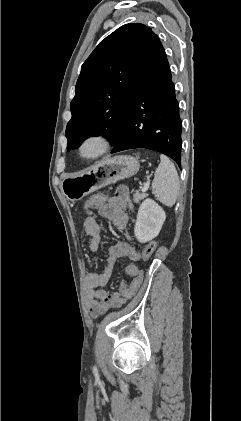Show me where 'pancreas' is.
Masks as SVG:
<instances>
[{"label": "pancreas", "instance_id": "obj_1", "mask_svg": "<svg viewBox=\"0 0 241 421\" xmlns=\"http://www.w3.org/2000/svg\"><path fill=\"white\" fill-rule=\"evenodd\" d=\"M148 196V194H146V193H138V192H136L134 195H133V201L135 202V203H139L141 200H143L144 198H146Z\"/></svg>", "mask_w": 241, "mask_h": 421}]
</instances>
